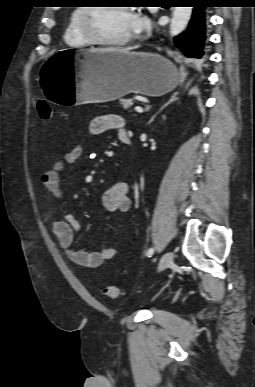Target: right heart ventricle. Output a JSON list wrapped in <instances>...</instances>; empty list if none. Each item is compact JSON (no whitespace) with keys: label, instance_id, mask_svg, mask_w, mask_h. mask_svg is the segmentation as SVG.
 <instances>
[{"label":"right heart ventricle","instance_id":"1","mask_svg":"<svg viewBox=\"0 0 255 387\" xmlns=\"http://www.w3.org/2000/svg\"><path fill=\"white\" fill-rule=\"evenodd\" d=\"M83 7L77 6L70 13L67 25L64 30V42L75 48H81L91 45L92 43L82 34L79 27V17Z\"/></svg>","mask_w":255,"mask_h":387}]
</instances>
